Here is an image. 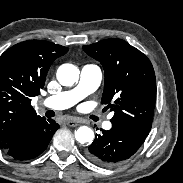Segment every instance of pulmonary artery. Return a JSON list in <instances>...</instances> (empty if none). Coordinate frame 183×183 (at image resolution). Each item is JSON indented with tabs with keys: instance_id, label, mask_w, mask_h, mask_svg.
Wrapping results in <instances>:
<instances>
[{
	"instance_id": "pulmonary-artery-1",
	"label": "pulmonary artery",
	"mask_w": 183,
	"mask_h": 183,
	"mask_svg": "<svg viewBox=\"0 0 183 183\" xmlns=\"http://www.w3.org/2000/svg\"><path fill=\"white\" fill-rule=\"evenodd\" d=\"M102 72L98 65L83 66L78 84L71 90L60 92L43 101V105L54 110H64L74 106L86 96L93 93L100 85ZM105 129H110L112 123L107 120L103 123Z\"/></svg>"
}]
</instances>
